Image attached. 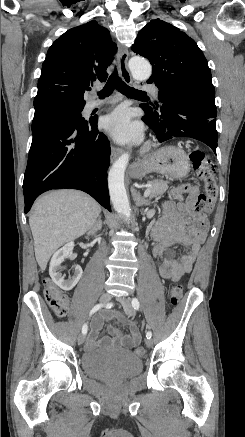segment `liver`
I'll use <instances>...</instances> for the list:
<instances>
[{"label":"liver","mask_w":245,"mask_h":437,"mask_svg":"<svg viewBox=\"0 0 245 437\" xmlns=\"http://www.w3.org/2000/svg\"><path fill=\"white\" fill-rule=\"evenodd\" d=\"M100 212L99 204L80 191L59 190L40 197L29 217L40 269H46L51 255L60 246L93 228Z\"/></svg>","instance_id":"1"}]
</instances>
